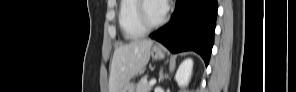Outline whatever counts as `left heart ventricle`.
<instances>
[{"label":"left heart ventricle","mask_w":296,"mask_h":92,"mask_svg":"<svg viewBox=\"0 0 296 92\" xmlns=\"http://www.w3.org/2000/svg\"><path fill=\"white\" fill-rule=\"evenodd\" d=\"M146 17L149 22L155 23L159 21L163 14L159 10V5L155 1H149L146 5Z\"/></svg>","instance_id":"b2bd125f"}]
</instances>
